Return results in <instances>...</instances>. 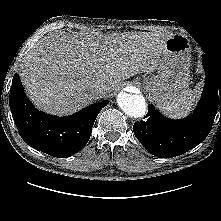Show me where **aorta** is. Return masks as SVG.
Segmentation results:
<instances>
[{"label":"aorta","instance_id":"obj_1","mask_svg":"<svg viewBox=\"0 0 221 221\" xmlns=\"http://www.w3.org/2000/svg\"><path fill=\"white\" fill-rule=\"evenodd\" d=\"M117 103L129 117L140 118L146 114V102L142 95L120 92L117 96Z\"/></svg>","mask_w":221,"mask_h":221}]
</instances>
